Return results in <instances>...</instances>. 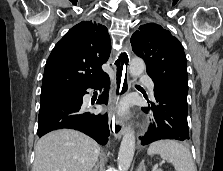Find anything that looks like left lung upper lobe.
<instances>
[{
	"label": "left lung upper lobe",
	"instance_id": "1",
	"mask_svg": "<svg viewBox=\"0 0 223 171\" xmlns=\"http://www.w3.org/2000/svg\"><path fill=\"white\" fill-rule=\"evenodd\" d=\"M131 45L145 61L155 87H166L187 97L186 56L177 38L162 26L147 23L133 33Z\"/></svg>",
	"mask_w": 223,
	"mask_h": 171
}]
</instances>
